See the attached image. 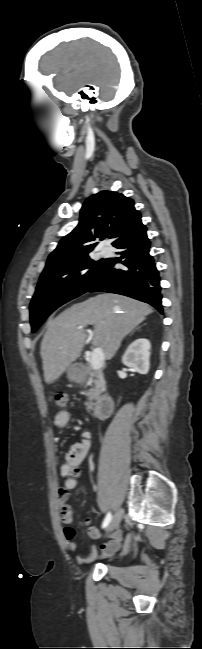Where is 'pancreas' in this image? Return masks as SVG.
I'll return each mask as SVG.
<instances>
[{"label":"pancreas","mask_w":202,"mask_h":649,"mask_svg":"<svg viewBox=\"0 0 202 649\" xmlns=\"http://www.w3.org/2000/svg\"><path fill=\"white\" fill-rule=\"evenodd\" d=\"M79 383L93 384V387L86 392L88 397L86 407L88 410H92L95 405L94 401L99 399L100 394L105 389V381L101 370L94 371L91 365L82 366Z\"/></svg>","instance_id":"pancreas-1"}]
</instances>
